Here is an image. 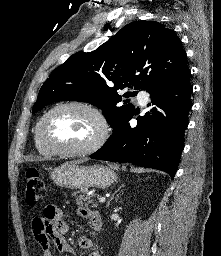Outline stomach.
Masks as SVG:
<instances>
[{"mask_svg":"<svg viewBox=\"0 0 221 256\" xmlns=\"http://www.w3.org/2000/svg\"><path fill=\"white\" fill-rule=\"evenodd\" d=\"M50 177L56 185L70 188H108L117 181V175L104 165L83 166L76 163H65L53 169Z\"/></svg>","mask_w":221,"mask_h":256,"instance_id":"1","label":"stomach"}]
</instances>
